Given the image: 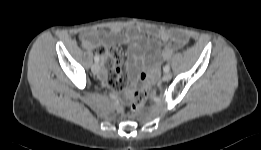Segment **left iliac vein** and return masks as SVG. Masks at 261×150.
<instances>
[{
    "label": "left iliac vein",
    "instance_id": "left-iliac-vein-1",
    "mask_svg": "<svg viewBox=\"0 0 261 150\" xmlns=\"http://www.w3.org/2000/svg\"><path fill=\"white\" fill-rule=\"evenodd\" d=\"M172 78V74L170 72H165L163 75V81H169Z\"/></svg>",
    "mask_w": 261,
    "mask_h": 150
}]
</instances>
